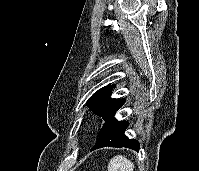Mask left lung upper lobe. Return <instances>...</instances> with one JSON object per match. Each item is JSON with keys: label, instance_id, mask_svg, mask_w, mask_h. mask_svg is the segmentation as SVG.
I'll return each mask as SVG.
<instances>
[{"label": "left lung upper lobe", "instance_id": "5c2ea615", "mask_svg": "<svg viewBox=\"0 0 199 171\" xmlns=\"http://www.w3.org/2000/svg\"><path fill=\"white\" fill-rule=\"evenodd\" d=\"M116 85L105 86L96 91L87 101V106L106 121L124 102L125 99L110 98Z\"/></svg>", "mask_w": 199, "mask_h": 171}]
</instances>
